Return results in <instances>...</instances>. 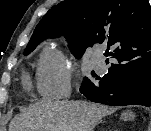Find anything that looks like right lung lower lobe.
<instances>
[{
	"mask_svg": "<svg viewBox=\"0 0 151 131\" xmlns=\"http://www.w3.org/2000/svg\"><path fill=\"white\" fill-rule=\"evenodd\" d=\"M96 82L82 84L80 92L93 102L112 106H151V69L133 73L109 72Z\"/></svg>",
	"mask_w": 151,
	"mask_h": 131,
	"instance_id": "obj_1",
	"label": "right lung lower lobe"
}]
</instances>
